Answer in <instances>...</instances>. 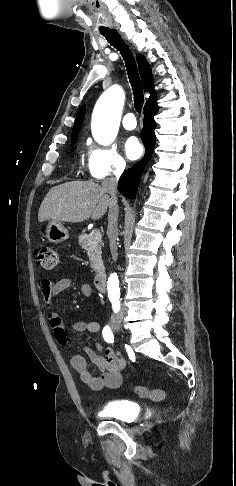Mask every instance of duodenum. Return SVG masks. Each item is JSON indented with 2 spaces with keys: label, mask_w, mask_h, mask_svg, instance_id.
I'll return each instance as SVG.
<instances>
[{
  "label": "duodenum",
  "mask_w": 236,
  "mask_h": 486,
  "mask_svg": "<svg viewBox=\"0 0 236 486\" xmlns=\"http://www.w3.org/2000/svg\"><path fill=\"white\" fill-rule=\"evenodd\" d=\"M94 286L100 292L106 290V275L104 273H98L94 278Z\"/></svg>",
  "instance_id": "duodenum-1"
}]
</instances>
